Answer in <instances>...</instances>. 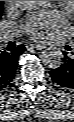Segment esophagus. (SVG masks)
I'll return each mask as SVG.
<instances>
[{
    "label": "esophagus",
    "mask_w": 74,
    "mask_h": 122,
    "mask_svg": "<svg viewBox=\"0 0 74 122\" xmlns=\"http://www.w3.org/2000/svg\"><path fill=\"white\" fill-rule=\"evenodd\" d=\"M46 46L44 44H30L27 46V49L30 50V49H35V50H42V49H45Z\"/></svg>",
    "instance_id": "esophagus-1"
}]
</instances>
